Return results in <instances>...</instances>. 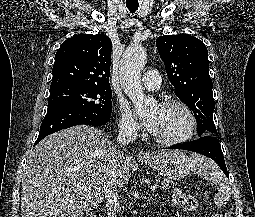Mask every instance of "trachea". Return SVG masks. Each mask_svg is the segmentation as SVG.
<instances>
[{"label": "trachea", "mask_w": 255, "mask_h": 217, "mask_svg": "<svg viewBox=\"0 0 255 217\" xmlns=\"http://www.w3.org/2000/svg\"><path fill=\"white\" fill-rule=\"evenodd\" d=\"M126 6L128 8V10L131 12V13H134L138 10V4H130V3H126Z\"/></svg>", "instance_id": "3493384b"}]
</instances>
